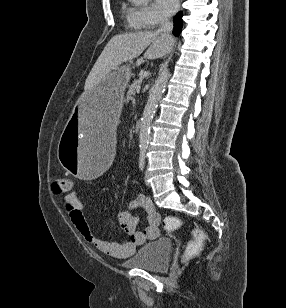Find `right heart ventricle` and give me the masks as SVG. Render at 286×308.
Segmentation results:
<instances>
[{
    "label": "right heart ventricle",
    "mask_w": 286,
    "mask_h": 308,
    "mask_svg": "<svg viewBox=\"0 0 286 308\" xmlns=\"http://www.w3.org/2000/svg\"><path fill=\"white\" fill-rule=\"evenodd\" d=\"M121 13L124 16V19L126 21V24L131 28V29H140V27L136 24L135 22V17H134V10L128 7L126 4H123L121 6Z\"/></svg>",
    "instance_id": "obj_1"
}]
</instances>
